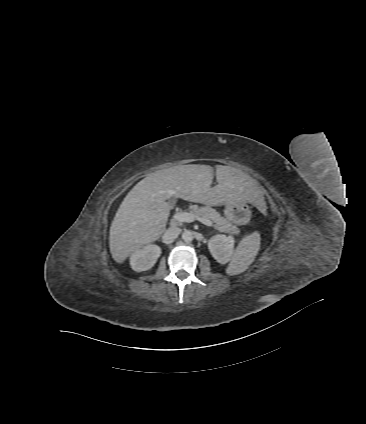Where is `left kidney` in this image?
Returning <instances> with one entry per match:
<instances>
[{"mask_svg":"<svg viewBox=\"0 0 366 424\" xmlns=\"http://www.w3.org/2000/svg\"><path fill=\"white\" fill-rule=\"evenodd\" d=\"M234 244L235 240L233 236L218 234L209 239L208 248L217 262L226 264L233 255Z\"/></svg>","mask_w":366,"mask_h":424,"instance_id":"1","label":"left kidney"}]
</instances>
